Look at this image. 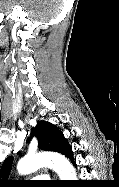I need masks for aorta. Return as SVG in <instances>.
Here are the masks:
<instances>
[{
	"label": "aorta",
	"instance_id": "762f6f07",
	"mask_svg": "<svg viewBox=\"0 0 119 187\" xmlns=\"http://www.w3.org/2000/svg\"><path fill=\"white\" fill-rule=\"evenodd\" d=\"M50 166L59 175L61 180H77L73 165L58 153H38L23 157L17 165L20 174L25 175L41 167Z\"/></svg>",
	"mask_w": 119,
	"mask_h": 187
}]
</instances>
